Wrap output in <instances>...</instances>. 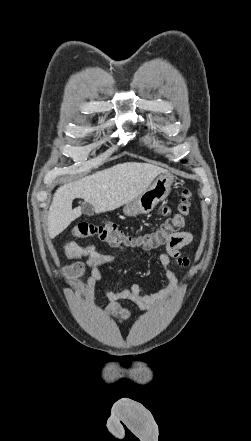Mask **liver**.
I'll use <instances>...</instances> for the list:
<instances>
[{
	"mask_svg": "<svg viewBox=\"0 0 251 441\" xmlns=\"http://www.w3.org/2000/svg\"><path fill=\"white\" fill-rule=\"evenodd\" d=\"M167 170L149 163L125 162L59 187L48 212V232L54 238L81 216L72 209L75 198L84 199L97 214L113 211L144 192Z\"/></svg>",
	"mask_w": 251,
	"mask_h": 441,
	"instance_id": "6515ba94",
	"label": "liver"
}]
</instances>
